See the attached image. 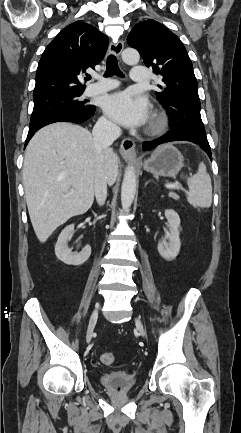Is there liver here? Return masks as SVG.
Returning a JSON list of instances; mask_svg holds the SVG:
<instances>
[{
    "instance_id": "1",
    "label": "liver",
    "mask_w": 241,
    "mask_h": 433,
    "mask_svg": "<svg viewBox=\"0 0 241 433\" xmlns=\"http://www.w3.org/2000/svg\"><path fill=\"white\" fill-rule=\"evenodd\" d=\"M91 133L66 122L40 129L30 140L23 163V185L35 234L45 243L57 227L84 214L94 200L96 154ZM103 171L111 186L118 175V157L103 150ZM70 187L75 190L69 193Z\"/></svg>"
}]
</instances>
